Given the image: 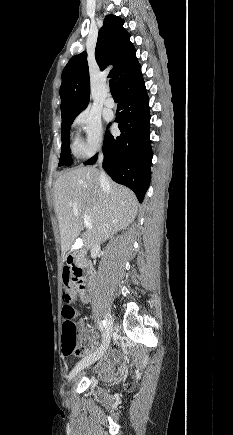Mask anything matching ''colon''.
I'll return each mask as SVG.
<instances>
[{
	"label": "colon",
	"mask_w": 233,
	"mask_h": 435,
	"mask_svg": "<svg viewBox=\"0 0 233 435\" xmlns=\"http://www.w3.org/2000/svg\"><path fill=\"white\" fill-rule=\"evenodd\" d=\"M78 282L77 277L69 267L63 271V285L71 287ZM76 309L70 304L69 299H65V305L62 310V327H61V346L62 352L66 355H82L84 348L78 343V328L75 322Z\"/></svg>",
	"instance_id": "5ec220e1"
}]
</instances>
